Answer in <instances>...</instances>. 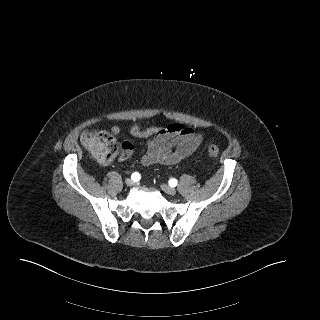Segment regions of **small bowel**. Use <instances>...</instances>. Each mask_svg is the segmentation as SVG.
<instances>
[{
	"instance_id": "c3829d8e",
	"label": "small bowel",
	"mask_w": 320,
	"mask_h": 320,
	"mask_svg": "<svg viewBox=\"0 0 320 320\" xmlns=\"http://www.w3.org/2000/svg\"><path fill=\"white\" fill-rule=\"evenodd\" d=\"M112 132L119 134L121 129L115 125L112 127ZM130 134L147 140L145 153L141 157V163L144 166L175 165L190 157L203 141L202 134L180 124L146 128L133 124L130 127ZM131 153V144L123 142L121 158L125 160L130 157Z\"/></svg>"
}]
</instances>
